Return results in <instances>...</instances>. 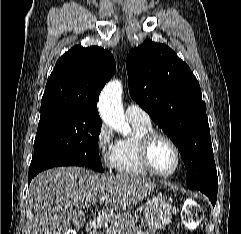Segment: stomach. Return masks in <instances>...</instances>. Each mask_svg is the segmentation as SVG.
<instances>
[{
    "mask_svg": "<svg viewBox=\"0 0 241 234\" xmlns=\"http://www.w3.org/2000/svg\"><path fill=\"white\" fill-rule=\"evenodd\" d=\"M174 211L175 209L172 203L162 195H158L149 199L146 202L143 211L144 221L148 228L146 234L152 233L165 227L171 221ZM115 221L124 231L136 230L133 223L128 220V216L126 214H120L118 218L115 219Z\"/></svg>",
    "mask_w": 241,
    "mask_h": 234,
    "instance_id": "obj_1",
    "label": "stomach"
}]
</instances>
